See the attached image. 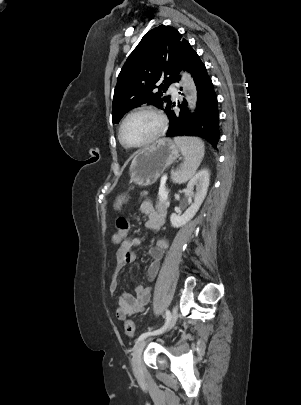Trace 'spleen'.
<instances>
[{
    "instance_id": "1",
    "label": "spleen",
    "mask_w": 301,
    "mask_h": 405,
    "mask_svg": "<svg viewBox=\"0 0 301 405\" xmlns=\"http://www.w3.org/2000/svg\"><path fill=\"white\" fill-rule=\"evenodd\" d=\"M174 141L184 156L182 168L175 174L174 180L176 183H185L196 173L202 162L205 152L204 143L196 137H175ZM121 203L122 200H119L116 207L119 208Z\"/></svg>"
}]
</instances>
